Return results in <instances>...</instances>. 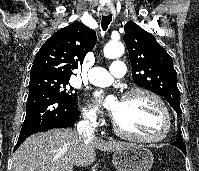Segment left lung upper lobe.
<instances>
[{
  "label": "left lung upper lobe",
  "instance_id": "5c2ea615",
  "mask_svg": "<svg viewBox=\"0 0 199 171\" xmlns=\"http://www.w3.org/2000/svg\"><path fill=\"white\" fill-rule=\"evenodd\" d=\"M124 30L135 83L165 98L179 116L180 92L171 56L153 35L134 22L128 21Z\"/></svg>",
  "mask_w": 199,
  "mask_h": 171
}]
</instances>
